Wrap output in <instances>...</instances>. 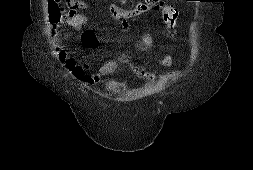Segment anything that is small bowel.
Returning a JSON list of instances; mask_svg holds the SVG:
<instances>
[{
    "label": "small bowel",
    "instance_id": "small-bowel-1",
    "mask_svg": "<svg viewBox=\"0 0 253 170\" xmlns=\"http://www.w3.org/2000/svg\"><path fill=\"white\" fill-rule=\"evenodd\" d=\"M152 10H159L162 14V20L168 28H174L176 19H172L174 13H177L176 9L165 4L163 0H156L151 3L150 0H144L137 3L130 9H123L118 5H111L110 14L112 18L119 22L120 26L124 30H128L130 27L129 18L138 17ZM89 24L88 16L84 14H76L73 17H65L61 21L53 24L52 36L56 40V49L58 51V57L65 69L81 83L85 85H94L98 83L103 77L112 73L118 66V62L110 60L96 68L94 71H90V65L87 63H80L76 61L70 54L65 51L61 42L63 39L62 28L69 26L78 31L79 40L88 48H95L98 43V39L92 30L87 29ZM154 38L152 34H145L136 44V50H146L153 46ZM126 61V59H124ZM160 65L163 67H170L173 64V58L170 55H164L160 58ZM131 68L136 76L141 79L149 81H168L176 79L179 76L178 71H171L168 73L157 74L149 72L143 67L135 64H131Z\"/></svg>",
    "mask_w": 253,
    "mask_h": 170
}]
</instances>
